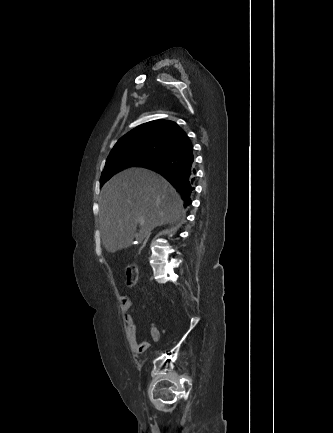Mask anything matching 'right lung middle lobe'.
<instances>
[{
	"label": "right lung middle lobe",
	"mask_w": 333,
	"mask_h": 433,
	"mask_svg": "<svg viewBox=\"0 0 333 433\" xmlns=\"http://www.w3.org/2000/svg\"><path fill=\"white\" fill-rule=\"evenodd\" d=\"M170 153L162 148L146 146L120 147L113 149L106 161L100 178V187L117 172L131 166L153 164Z\"/></svg>",
	"instance_id": "dd1d6c3e"
}]
</instances>
